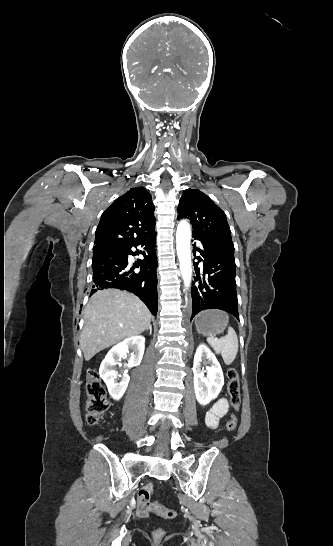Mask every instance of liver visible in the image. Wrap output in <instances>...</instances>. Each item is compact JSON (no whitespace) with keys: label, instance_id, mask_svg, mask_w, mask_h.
<instances>
[{"label":"liver","instance_id":"obj_1","mask_svg":"<svg viewBox=\"0 0 333 546\" xmlns=\"http://www.w3.org/2000/svg\"><path fill=\"white\" fill-rule=\"evenodd\" d=\"M80 346L86 361L125 338L138 336L151 322V313L135 295L116 289L97 291L84 311Z\"/></svg>","mask_w":333,"mask_h":546}]
</instances>
